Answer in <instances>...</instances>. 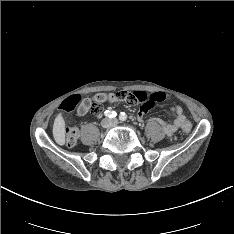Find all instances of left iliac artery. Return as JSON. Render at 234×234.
<instances>
[{"mask_svg": "<svg viewBox=\"0 0 234 234\" xmlns=\"http://www.w3.org/2000/svg\"><path fill=\"white\" fill-rule=\"evenodd\" d=\"M120 121H126L127 120V115L124 112H121L119 116Z\"/></svg>", "mask_w": 234, "mask_h": 234, "instance_id": "obj_1", "label": "left iliac artery"}]
</instances>
